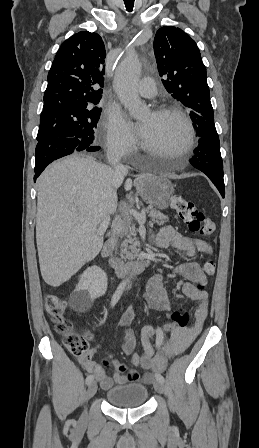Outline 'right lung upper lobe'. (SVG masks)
Segmentation results:
<instances>
[{
	"mask_svg": "<svg viewBox=\"0 0 259 448\" xmlns=\"http://www.w3.org/2000/svg\"><path fill=\"white\" fill-rule=\"evenodd\" d=\"M105 47L97 33L81 31L62 43L48 73L41 114L97 105L102 97Z\"/></svg>",
	"mask_w": 259,
	"mask_h": 448,
	"instance_id": "1",
	"label": "right lung upper lobe"
}]
</instances>
